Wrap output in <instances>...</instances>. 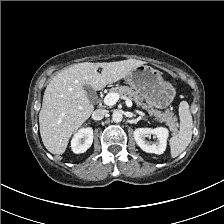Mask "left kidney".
Here are the masks:
<instances>
[{"label":"left kidney","mask_w":224,"mask_h":224,"mask_svg":"<svg viewBox=\"0 0 224 224\" xmlns=\"http://www.w3.org/2000/svg\"><path fill=\"white\" fill-rule=\"evenodd\" d=\"M149 135H154L157 138V142L150 144L145 141V138ZM169 131L164 127L151 128H137L134 131V139L137 145L147 153L163 154L166 150L167 139Z\"/></svg>","instance_id":"obj_1"}]
</instances>
